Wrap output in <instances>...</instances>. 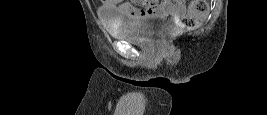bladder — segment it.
<instances>
[{
    "instance_id": "bladder-1",
    "label": "bladder",
    "mask_w": 267,
    "mask_h": 115,
    "mask_svg": "<svg viewBox=\"0 0 267 115\" xmlns=\"http://www.w3.org/2000/svg\"><path fill=\"white\" fill-rule=\"evenodd\" d=\"M169 23V17L162 14H144L133 23L106 26L109 34L117 39L140 43L151 39Z\"/></svg>"
}]
</instances>
